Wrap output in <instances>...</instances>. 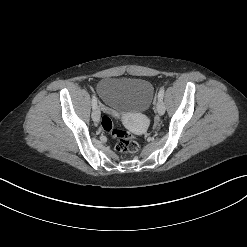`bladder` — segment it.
<instances>
[{
	"instance_id": "bladder-1",
	"label": "bladder",
	"mask_w": 247,
	"mask_h": 247,
	"mask_svg": "<svg viewBox=\"0 0 247 247\" xmlns=\"http://www.w3.org/2000/svg\"><path fill=\"white\" fill-rule=\"evenodd\" d=\"M96 91L101 100L119 114L144 112L153 98L152 84L136 78H103Z\"/></svg>"
}]
</instances>
